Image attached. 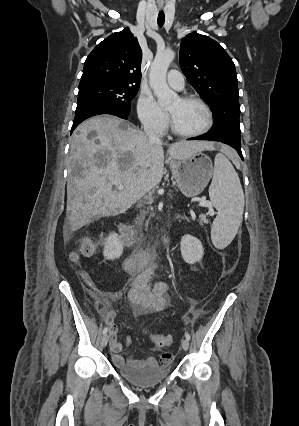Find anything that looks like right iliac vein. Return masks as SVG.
Listing matches in <instances>:
<instances>
[{"mask_svg":"<svg viewBox=\"0 0 299 426\" xmlns=\"http://www.w3.org/2000/svg\"><path fill=\"white\" fill-rule=\"evenodd\" d=\"M108 341H109V335H104L103 336V338H102V341H101V343H102V345L103 346H106L107 345V343H108Z\"/></svg>","mask_w":299,"mask_h":426,"instance_id":"63e3f726","label":"right iliac vein"}]
</instances>
